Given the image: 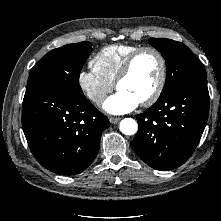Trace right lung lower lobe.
Returning <instances> with one entry per match:
<instances>
[{"label":"right lung lower lobe","instance_id":"right-lung-lower-lobe-1","mask_svg":"<svg viewBox=\"0 0 221 221\" xmlns=\"http://www.w3.org/2000/svg\"><path fill=\"white\" fill-rule=\"evenodd\" d=\"M22 127L36 160L60 175L83 172L95 159L108 118L84 94L26 89Z\"/></svg>","mask_w":221,"mask_h":221}]
</instances>
